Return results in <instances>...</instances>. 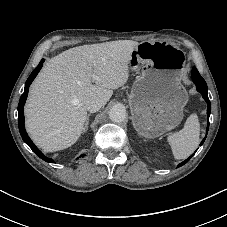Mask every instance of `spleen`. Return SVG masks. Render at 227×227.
<instances>
[{"mask_svg": "<svg viewBox=\"0 0 227 227\" xmlns=\"http://www.w3.org/2000/svg\"><path fill=\"white\" fill-rule=\"evenodd\" d=\"M200 123L197 114H191L179 132L170 134L167 137L174 158L185 159L190 156L200 142Z\"/></svg>", "mask_w": 227, "mask_h": 227, "instance_id": "3e777b00", "label": "spleen"}]
</instances>
